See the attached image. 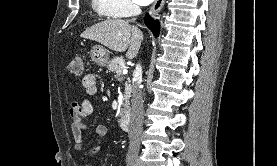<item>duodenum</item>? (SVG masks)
I'll return each instance as SVG.
<instances>
[{
	"mask_svg": "<svg viewBox=\"0 0 277 166\" xmlns=\"http://www.w3.org/2000/svg\"><path fill=\"white\" fill-rule=\"evenodd\" d=\"M120 126L122 128V130L124 131H130L131 126H132V119L130 114H125L120 122Z\"/></svg>",
	"mask_w": 277,
	"mask_h": 166,
	"instance_id": "duodenum-1",
	"label": "duodenum"
}]
</instances>
